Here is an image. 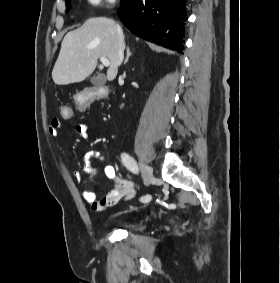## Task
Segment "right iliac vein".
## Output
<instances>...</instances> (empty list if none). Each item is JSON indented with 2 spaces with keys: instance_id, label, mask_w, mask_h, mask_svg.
Returning a JSON list of instances; mask_svg holds the SVG:
<instances>
[{
  "instance_id": "63e3f726",
  "label": "right iliac vein",
  "mask_w": 280,
  "mask_h": 283,
  "mask_svg": "<svg viewBox=\"0 0 280 283\" xmlns=\"http://www.w3.org/2000/svg\"><path fill=\"white\" fill-rule=\"evenodd\" d=\"M142 176H143L144 184L146 186H149L153 179L152 169L147 165H142Z\"/></svg>"
}]
</instances>
